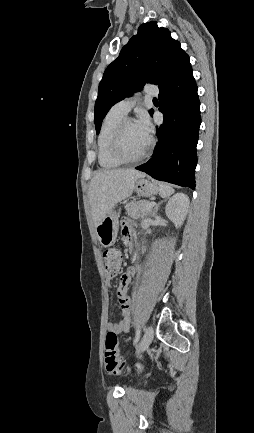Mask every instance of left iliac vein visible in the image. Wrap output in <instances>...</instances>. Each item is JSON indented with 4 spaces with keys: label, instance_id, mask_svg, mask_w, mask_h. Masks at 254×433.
<instances>
[{
    "label": "left iliac vein",
    "instance_id": "obj_1",
    "mask_svg": "<svg viewBox=\"0 0 254 433\" xmlns=\"http://www.w3.org/2000/svg\"><path fill=\"white\" fill-rule=\"evenodd\" d=\"M153 336H154L153 328L151 326H148L144 332V335H143L141 341L139 342V344L137 346V350H136L137 354L148 349L149 345L151 344V342L153 340Z\"/></svg>",
    "mask_w": 254,
    "mask_h": 433
}]
</instances>
